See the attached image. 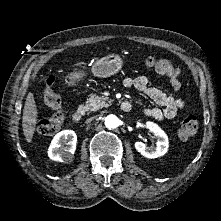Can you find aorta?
Returning a JSON list of instances; mask_svg holds the SVG:
<instances>
[{"instance_id": "762f6f07", "label": "aorta", "mask_w": 221, "mask_h": 221, "mask_svg": "<svg viewBox=\"0 0 221 221\" xmlns=\"http://www.w3.org/2000/svg\"><path fill=\"white\" fill-rule=\"evenodd\" d=\"M105 126L108 129H115L119 126V119L116 115L110 114L105 118Z\"/></svg>"}]
</instances>
